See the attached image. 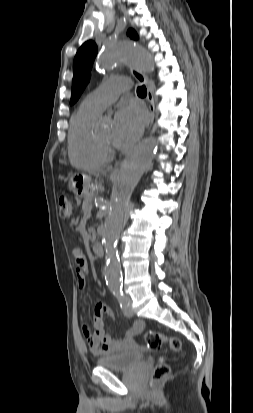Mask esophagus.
Instances as JSON below:
<instances>
[{"label":"esophagus","mask_w":253,"mask_h":413,"mask_svg":"<svg viewBox=\"0 0 253 413\" xmlns=\"http://www.w3.org/2000/svg\"><path fill=\"white\" fill-rule=\"evenodd\" d=\"M131 74L133 77L140 83L145 84L147 87V101H148V107H149V122H148V129L153 124L154 117H155V101H154V96L153 92L149 86V82L147 77L139 70L131 68L130 69ZM119 174V168L116 167L112 172H111V177L116 178Z\"/></svg>","instance_id":"obj_1"}]
</instances>
